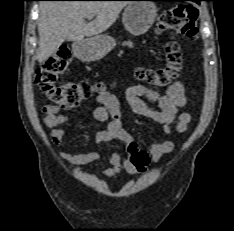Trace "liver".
Returning a JSON list of instances; mask_svg holds the SVG:
<instances>
[{"instance_id": "1", "label": "liver", "mask_w": 234, "mask_h": 231, "mask_svg": "<svg viewBox=\"0 0 234 231\" xmlns=\"http://www.w3.org/2000/svg\"><path fill=\"white\" fill-rule=\"evenodd\" d=\"M126 1H44L40 3L38 21L39 63L52 56L61 44L97 36L117 20ZM90 15L96 18L85 23Z\"/></svg>"}]
</instances>
